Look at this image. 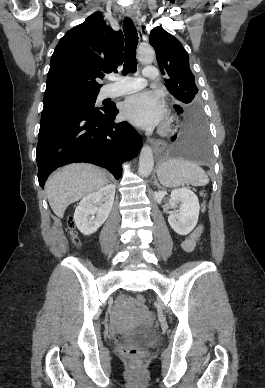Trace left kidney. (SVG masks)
<instances>
[{"label":"left kidney","instance_id":"1","mask_svg":"<svg viewBox=\"0 0 265 388\" xmlns=\"http://www.w3.org/2000/svg\"><path fill=\"white\" fill-rule=\"evenodd\" d=\"M167 192H154V198L158 204H162ZM172 204H179L180 210H175L168 218V222L177 234L187 236L194 230L199 218V202L194 192L189 188H178L171 192Z\"/></svg>","mask_w":265,"mask_h":388}]
</instances>
